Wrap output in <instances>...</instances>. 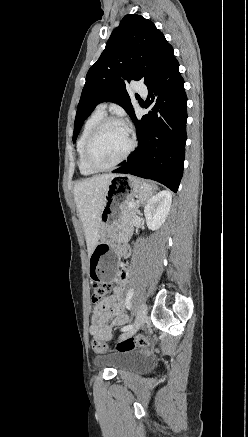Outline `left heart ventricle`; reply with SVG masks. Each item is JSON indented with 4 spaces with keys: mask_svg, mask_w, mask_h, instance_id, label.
<instances>
[{
    "mask_svg": "<svg viewBox=\"0 0 248 437\" xmlns=\"http://www.w3.org/2000/svg\"><path fill=\"white\" fill-rule=\"evenodd\" d=\"M129 145L126 128L120 124L111 123L105 126L92 147V158L100 166L114 163L125 152Z\"/></svg>",
    "mask_w": 248,
    "mask_h": 437,
    "instance_id": "obj_1",
    "label": "left heart ventricle"
}]
</instances>
